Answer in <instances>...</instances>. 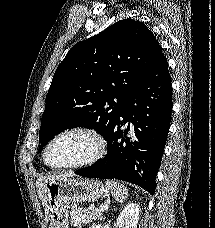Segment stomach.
Listing matches in <instances>:
<instances>
[{
  "label": "stomach",
  "instance_id": "1",
  "mask_svg": "<svg viewBox=\"0 0 215 228\" xmlns=\"http://www.w3.org/2000/svg\"><path fill=\"white\" fill-rule=\"evenodd\" d=\"M107 188L99 180L62 178L47 184V216L49 228H70L68 204L96 202L106 196Z\"/></svg>",
  "mask_w": 215,
  "mask_h": 228
}]
</instances>
